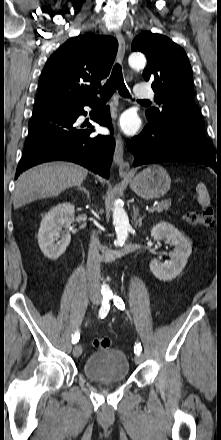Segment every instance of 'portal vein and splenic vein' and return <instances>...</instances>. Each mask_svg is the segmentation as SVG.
I'll use <instances>...</instances> for the list:
<instances>
[{
    "label": "portal vein and splenic vein",
    "instance_id": "1",
    "mask_svg": "<svg viewBox=\"0 0 221 440\" xmlns=\"http://www.w3.org/2000/svg\"><path fill=\"white\" fill-rule=\"evenodd\" d=\"M154 210H155V207H151L150 209H148V211H149L150 213L154 212Z\"/></svg>",
    "mask_w": 221,
    "mask_h": 440
}]
</instances>
